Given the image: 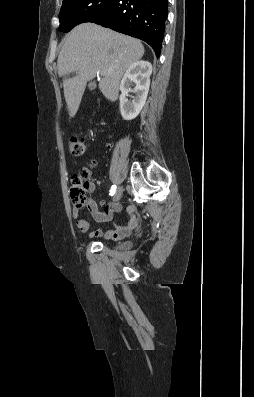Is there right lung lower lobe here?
Returning a JSON list of instances; mask_svg holds the SVG:
<instances>
[{"label":"right lung lower lobe","mask_w":254,"mask_h":397,"mask_svg":"<svg viewBox=\"0 0 254 397\" xmlns=\"http://www.w3.org/2000/svg\"><path fill=\"white\" fill-rule=\"evenodd\" d=\"M167 0H113L90 20L103 27L147 42L160 56L167 19Z\"/></svg>","instance_id":"right-lung-lower-lobe-1"}]
</instances>
